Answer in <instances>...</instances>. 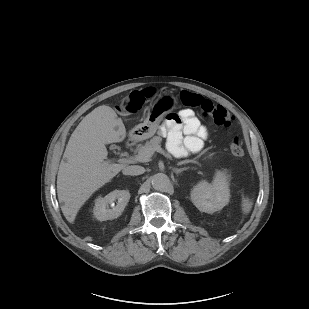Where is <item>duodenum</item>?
<instances>
[{"label": "duodenum", "mask_w": 309, "mask_h": 309, "mask_svg": "<svg viewBox=\"0 0 309 309\" xmlns=\"http://www.w3.org/2000/svg\"><path fill=\"white\" fill-rule=\"evenodd\" d=\"M129 144H132V141H129Z\"/></svg>", "instance_id": "1"}]
</instances>
